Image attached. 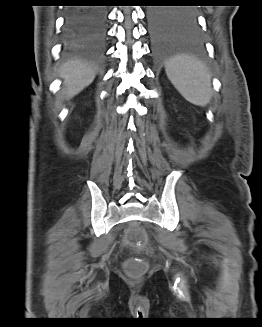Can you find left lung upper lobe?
<instances>
[{
  "label": "left lung upper lobe",
  "instance_id": "1",
  "mask_svg": "<svg viewBox=\"0 0 262 327\" xmlns=\"http://www.w3.org/2000/svg\"><path fill=\"white\" fill-rule=\"evenodd\" d=\"M191 13L190 14H192V16H195V12L194 11H190Z\"/></svg>",
  "mask_w": 262,
  "mask_h": 327
}]
</instances>
